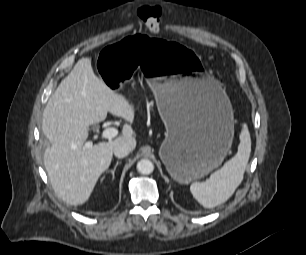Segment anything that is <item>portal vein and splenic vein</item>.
<instances>
[{
	"label": "portal vein and splenic vein",
	"instance_id": "1",
	"mask_svg": "<svg viewBox=\"0 0 306 255\" xmlns=\"http://www.w3.org/2000/svg\"><path fill=\"white\" fill-rule=\"evenodd\" d=\"M117 135H118V130L116 128L108 127L102 132L101 137L111 140ZM92 145H93L92 142H86L84 146L85 148H90Z\"/></svg>",
	"mask_w": 306,
	"mask_h": 255
}]
</instances>
